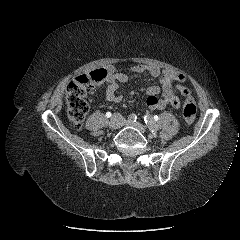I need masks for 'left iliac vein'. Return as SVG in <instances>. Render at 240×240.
Segmentation results:
<instances>
[{"instance_id": "obj_1", "label": "left iliac vein", "mask_w": 240, "mask_h": 240, "mask_svg": "<svg viewBox=\"0 0 240 240\" xmlns=\"http://www.w3.org/2000/svg\"><path fill=\"white\" fill-rule=\"evenodd\" d=\"M125 126L133 127L138 129L141 133L145 134L146 133V128L139 122H131V121H125L123 123Z\"/></svg>"}]
</instances>
